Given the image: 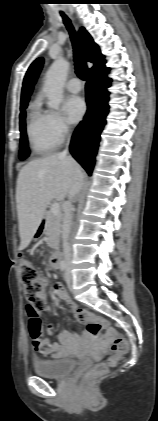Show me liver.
<instances>
[{
    "instance_id": "6515ba94",
    "label": "liver",
    "mask_w": 158,
    "mask_h": 421,
    "mask_svg": "<svg viewBox=\"0 0 158 421\" xmlns=\"http://www.w3.org/2000/svg\"><path fill=\"white\" fill-rule=\"evenodd\" d=\"M79 164L70 156L51 154L33 160L19 171L16 203L21 238L20 249L31 242L51 200H63Z\"/></svg>"
}]
</instances>
